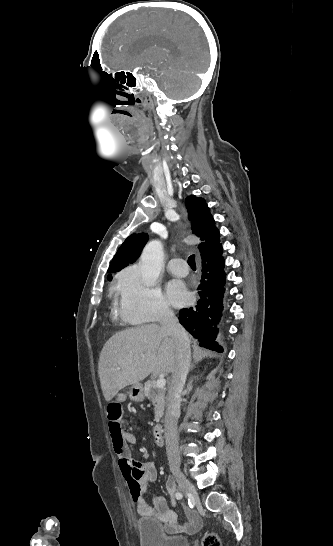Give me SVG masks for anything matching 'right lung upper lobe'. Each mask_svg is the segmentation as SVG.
Here are the masks:
<instances>
[{"instance_id":"1","label":"right lung upper lobe","mask_w":333,"mask_h":546,"mask_svg":"<svg viewBox=\"0 0 333 546\" xmlns=\"http://www.w3.org/2000/svg\"><path fill=\"white\" fill-rule=\"evenodd\" d=\"M186 206L188 218L192 222V232L202 240V243L198 245L201 258L208 257L220 245V234L214 225L215 221L204 199L189 196L186 199ZM147 241L148 235L146 233L129 236L115 254L108 272H117L129 263L136 261Z\"/></svg>"}]
</instances>
